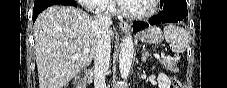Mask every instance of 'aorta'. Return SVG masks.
Segmentation results:
<instances>
[{"label":"aorta","instance_id":"obj_1","mask_svg":"<svg viewBox=\"0 0 227 88\" xmlns=\"http://www.w3.org/2000/svg\"><path fill=\"white\" fill-rule=\"evenodd\" d=\"M134 55V44L130 36L126 37L122 44L119 55V69L123 79H126L129 75L132 59Z\"/></svg>","mask_w":227,"mask_h":88}]
</instances>
